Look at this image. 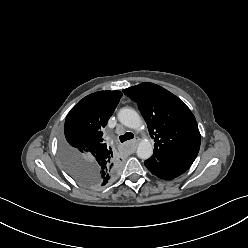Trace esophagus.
Wrapping results in <instances>:
<instances>
[{"mask_svg": "<svg viewBox=\"0 0 248 248\" xmlns=\"http://www.w3.org/2000/svg\"><path fill=\"white\" fill-rule=\"evenodd\" d=\"M139 137H136L134 140H132L131 142H130V149L132 150V151H134L135 149H136V146H137V144H138V142H139Z\"/></svg>", "mask_w": 248, "mask_h": 248, "instance_id": "obj_1", "label": "esophagus"}]
</instances>
